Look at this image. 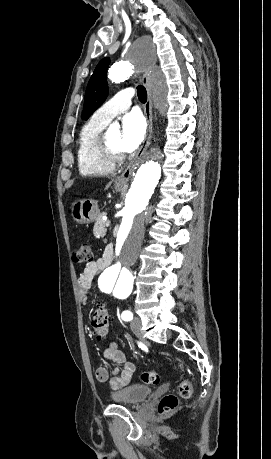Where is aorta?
<instances>
[{"label":"aorta","instance_id":"762f6f07","mask_svg":"<svg viewBox=\"0 0 271 459\" xmlns=\"http://www.w3.org/2000/svg\"><path fill=\"white\" fill-rule=\"evenodd\" d=\"M154 47L139 40L131 48L129 60L114 64L108 77L114 83L128 79L135 68L149 67L154 62ZM154 104L161 112L167 109V85L159 71L152 73ZM163 153L156 147L141 158L134 180L125 195L120 211L115 257L101 273L98 283L102 292L124 297L132 292L134 277L130 267L136 262L150 217L149 201L161 177Z\"/></svg>","mask_w":271,"mask_h":459}]
</instances>
